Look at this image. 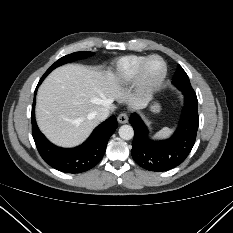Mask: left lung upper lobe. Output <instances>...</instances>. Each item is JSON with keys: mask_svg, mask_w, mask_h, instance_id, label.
I'll return each mask as SVG.
<instances>
[{"mask_svg": "<svg viewBox=\"0 0 233 233\" xmlns=\"http://www.w3.org/2000/svg\"><path fill=\"white\" fill-rule=\"evenodd\" d=\"M172 82L181 91L193 90L186 72L180 65L177 66V71L173 76Z\"/></svg>", "mask_w": 233, "mask_h": 233, "instance_id": "left-lung-upper-lobe-1", "label": "left lung upper lobe"}]
</instances>
